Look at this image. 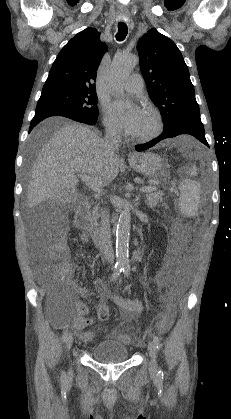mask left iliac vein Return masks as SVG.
Returning <instances> with one entry per match:
<instances>
[{"mask_svg": "<svg viewBox=\"0 0 231 419\" xmlns=\"http://www.w3.org/2000/svg\"><path fill=\"white\" fill-rule=\"evenodd\" d=\"M148 352L150 356V373L152 375L157 372V362H156V347L153 341L148 343Z\"/></svg>", "mask_w": 231, "mask_h": 419, "instance_id": "4c4485c4", "label": "left iliac vein"}]
</instances>
